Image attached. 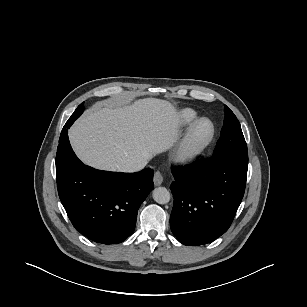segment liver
Wrapping results in <instances>:
<instances>
[{
    "instance_id": "1",
    "label": "liver",
    "mask_w": 307,
    "mask_h": 307,
    "mask_svg": "<svg viewBox=\"0 0 307 307\" xmlns=\"http://www.w3.org/2000/svg\"><path fill=\"white\" fill-rule=\"evenodd\" d=\"M180 118L168 101L144 98L132 103L98 102L70 128L76 155L97 169L121 171L148 162L177 141Z\"/></svg>"
}]
</instances>
